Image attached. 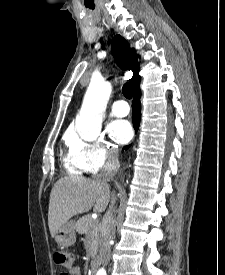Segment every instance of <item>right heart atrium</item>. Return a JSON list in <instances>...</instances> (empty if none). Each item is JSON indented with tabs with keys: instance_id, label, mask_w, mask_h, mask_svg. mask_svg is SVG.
Here are the masks:
<instances>
[{
	"instance_id": "1",
	"label": "right heart atrium",
	"mask_w": 225,
	"mask_h": 275,
	"mask_svg": "<svg viewBox=\"0 0 225 275\" xmlns=\"http://www.w3.org/2000/svg\"><path fill=\"white\" fill-rule=\"evenodd\" d=\"M67 141L70 153L85 172H96L117 159L116 148L108 143L103 135L92 140L70 135Z\"/></svg>"
}]
</instances>
